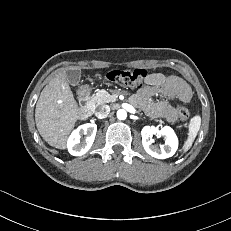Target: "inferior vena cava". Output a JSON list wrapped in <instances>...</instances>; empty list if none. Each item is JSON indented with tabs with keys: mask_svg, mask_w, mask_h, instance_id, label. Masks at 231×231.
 I'll list each match as a JSON object with an SVG mask.
<instances>
[{
	"mask_svg": "<svg viewBox=\"0 0 231 231\" xmlns=\"http://www.w3.org/2000/svg\"><path fill=\"white\" fill-rule=\"evenodd\" d=\"M110 113L109 105H102L97 108L96 115L98 118L103 119Z\"/></svg>",
	"mask_w": 231,
	"mask_h": 231,
	"instance_id": "602c4592",
	"label": "inferior vena cava"
}]
</instances>
